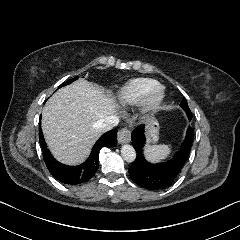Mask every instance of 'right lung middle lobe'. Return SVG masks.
I'll return each instance as SVG.
<instances>
[{
	"mask_svg": "<svg viewBox=\"0 0 240 240\" xmlns=\"http://www.w3.org/2000/svg\"><path fill=\"white\" fill-rule=\"evenodd\" d=\"M77 79H78V77H75V78H73V79H70V80H68L67 82H65L64 84H62L60 87L65 86V85H68V84L72 83L73 81H75V80H77Z\"/></svg>",
	"mask_w": 240,
	"mask_h": 240,
	"instance_id": "right-lung-middle-lobe-1",
	"label": "right lung middle lobe"
}]
</instances>
